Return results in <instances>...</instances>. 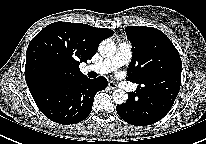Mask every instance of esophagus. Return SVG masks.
Listing matches in <instances>:
<instances>
[{"label":"esophagus","instance_id":"34e87169","mask_svg":"<svg viewBox=\"0 0 206 144\" xmlns=\"http://www.w3.org/2000/svg\"><path fill=\"white\" fill-rule=\"evenodd\" d=\"M108 86L111 88V89H116L117 88V84L113 81H109L108 83Z\"/></svg>","mask_w":206,"mask_h":144}]
</instances>
